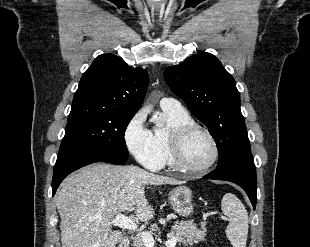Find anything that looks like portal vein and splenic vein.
Returning a JSON list of instances; mask_svg holds the SVG:
<instances>
[{"mask_svg":"<svg viewBox=\"0 0 310 247\" xmlns=\"http://www.w3.org/2000/svg\"><path fill=\"white\" fill-rule=\"evenodd\" d=\"M110 225L138 232V236L141 238L142 242L145 244L146 247H153L155 244L152 234H150L149 232H142L138 230L137 224L132 219L126 217L121 213L116 214L115 219L110 222ZM176 243L177 238L175 236H169V239L165 242V246L175 247Z\"/></svg>","mask_w":310,"mask_h":247,"instance_id":"1","label":"portal vein and splenic vein"}]
</instances>
